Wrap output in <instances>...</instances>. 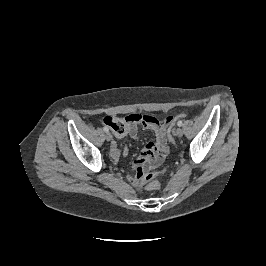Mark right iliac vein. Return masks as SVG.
<instances>
[{"instance_id": "obj_1", "label": "right iliac vein", "mask_w": 266, "mask_h": 266, "mask_svg": "<svg viewBox=\"0 0 266 266\" xmlns=\"http://www.w3.org/2000/svg\"><path fill=\"white\" fill-rule=\"evenodd\" d=\"M105 139H106L107 141H111V140H112V135H111V133L106 132V134H105Z\"/></svg>"}]
</instances>
